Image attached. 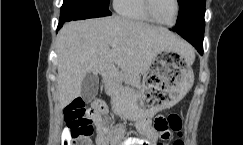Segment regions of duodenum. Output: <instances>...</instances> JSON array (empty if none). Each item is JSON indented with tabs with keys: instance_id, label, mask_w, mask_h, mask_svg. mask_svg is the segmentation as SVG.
<instances>
[{
	"instance_id": "410a0bca",
	"label": "duodenum",
	"mask_w": 243,
	"mask_h": 145,
	"mask_svg": "<svg viewBox=\"0 0 243 145\" xmlns=\"http://www.w3.org/2000/svg\"><path fill=\"white\" fill-rule=\"evenodd\" d=\"M101 75L106 80V82L109 83L111 81V77H112V68H111V66L110 65H104L101 68Z\"/></svg>"
}]
</instances>
